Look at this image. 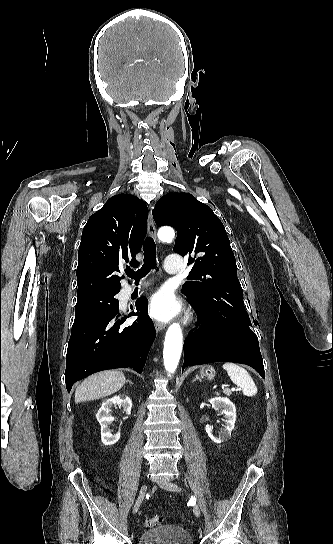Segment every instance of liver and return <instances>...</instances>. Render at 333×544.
Listing matches in <instances>:
<instances>
[{"label": "liver", "mask_w": 333, "mask_h": 544, "mask_svg": "<svg viewBox=\"0 0 333 544\" xmlns=\"http://www.w3.org/2000/svg\"><path fill=\"white\" fill-rule=\"evenodd\" d=\"M126 382L123 372L108 370L86 378L75 391V403L99 399L120 390Z\"/></svg>", "instance_id": "obj_1"}]
</instances>
